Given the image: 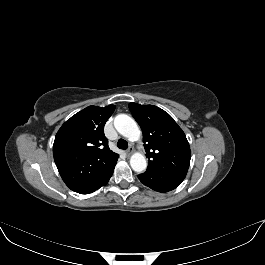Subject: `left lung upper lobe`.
Returning a JSON list of instances; mask_svg holds the SVG:
<instances>
[{"instance_id": "1", "label": "left lung upper lobe", "mask_w": 265, "mask_h": 265, "mask_svg": "<svg viewBox=\"0 0 265 265\" xmlns=\"http://www.w3.org/2000/svg\"><path fill=\"white\" fill-rule=\"evenodd\" d=\"M129 109L143 131L149 159L146 171L186 174L191 158L190 146L174 119L154 105L131 102Z\"/></svg>"}]
</instances>
